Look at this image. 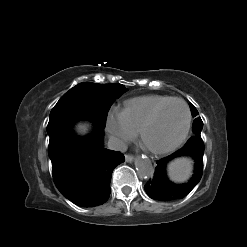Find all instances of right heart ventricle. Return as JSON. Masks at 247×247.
Returning a JSON list of instances; mask_svg holds the SVG:
<instances>
[{
	"instance_id": "right-heart-ventricle-1",
	"label": "right heart ventricle",
	"mask_w": 247,
	"mask_h": 247,
	"mask_svg": "<svg viewBox=\"0 0 247 247\" xmlns=\"http://www.w3.org/2000/svg\"><path fill=\"white\" fill-rule=\"evenodd\" d=\"M170 98L158 94L135 97L124 103L122 112L130 127L138 132L155 108Z\"/></svg>"
}]
</instances>
